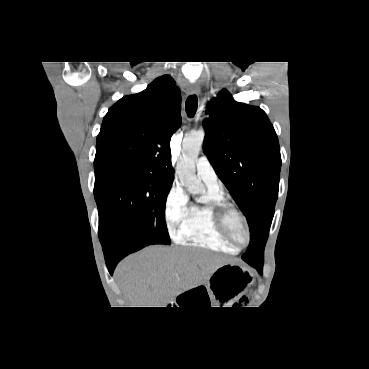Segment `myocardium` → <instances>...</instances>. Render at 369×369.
Wrapping results in <instances>:
<instances>
[{
    "mask_svg": "<svg viewBox=\"0 0 369 369\" xmlns=\"http://www.w3.org/2000/svg\"><path fill=\"white\" fill-rule=\"evenodd\" d=\"M211 206L214 210L215 224L221 235L237 249L247 247L251 240V232L244 214L234 205L225 200L220 202H212ZM232 217H237L245 230L246 240L244 243L238 242L233 235L230 226V219Z\"/></svg>",
    "mask_w": 369,
    "mask_h": 369,
    "instance_id": "f54148a6",
    "label": "myocardium"
}]
</instances>
